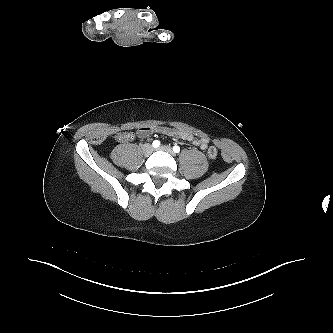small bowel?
Here are the masks:
<instances>
[{"label": "small bowel", "instance_id": "small-bowel-1", "mask_svg": "<svg viewBox=\"0 0 333 333\" xmlns=\"http://www.w3.org/2000/svg\"><path fill=\"white\" fill-rule=\"evenodd\" d=\"M154 132L190 141L194 145L199 146L202 150L207 149L209 143L207 137H196L186 130L166 126L141 127L137 130V135L141 138H145L150 136Z\"/></svg>", "mask_w": 333, "mask_h": 333}]
</instances>
